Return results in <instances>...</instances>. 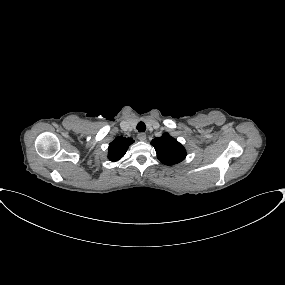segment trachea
<instances>
[{
    "mask_svg": "<svg viewBox=\"0 0 285 285\" xmlns=\"http://www.w3.org/2000/svg\"><path fill=\"white\" fill-rule=\"evenodd\" d=\"M137 130H138L139 132H144V131L146 130V125H145V123H144V122H139V123L137 124Z\"/></svg>",
    "mask_w": 285,
    "mask_h": 285,
    "instance_id": "3493384b",
    "label": "trachea"
}]
</instances>
